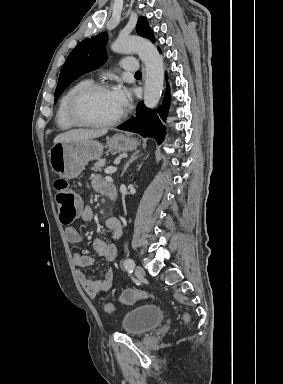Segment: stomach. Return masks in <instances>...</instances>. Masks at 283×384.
Returning <instances> with one entry per match:
<instances>
[{
    "label": "stomach",
    "mask_w": 283,
    "mask_h": 384,
    "mask_svg": "<svg viewBox=\"0 0 283 384\" xmlns=\"http://www.w3.org/2000/svg\"><path fill=\"white\" fill-rule=\"evenodd\" d=\"M139 146L138 140L127 138L123 134L112 136L107 142V148L114 152H131ZM102 144L96 140H81V142H58L49 150L50 166L61 178H77L83 172L87 162L99 160L103 154Z\"/></svg>",
    "instance_id": "1"
}]
</instances>
